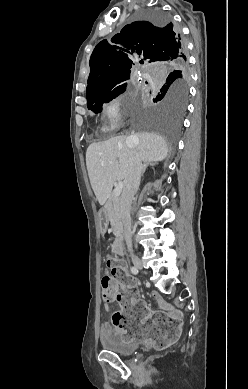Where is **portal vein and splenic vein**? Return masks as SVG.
Instances as JSON below:
<instances>
[{
  "label": "portal vein and splenic vein",
  "mask_w": 248,
  "mask_h": 389,
  "mask_svg": "<svg viewBox=\"0 0 248 389\" xmlns=\"http://www.w3.org/2000/svg\"><path fill=\"white\" fill-rule=\"evenodd\" d=\"M123 189V182L119 181L118 185L115 187L113 193L115 197H119Z\"/></svg>",
  "instance_id": "1"
}]
</instances>
